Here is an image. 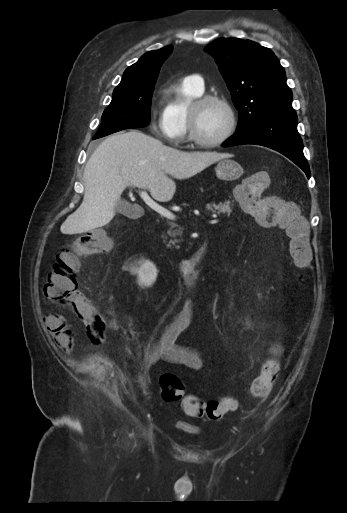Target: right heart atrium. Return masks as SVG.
I'll return each instance as SVG.
<instances>
[{"label":"right heart atrium","instance_id":"d8ad5b80","mask_svg":"<svg viewBox=\"0 0 347 513\" xmlns=\"http://www.w3.org/2000/svg\"><path fill=\"white\" fill-rule=\"evenodd\" d=\"M151 126L157 135L170 141L171 143H176L175 136L170 129L169 122L163 113L152 120Z\"/></svg>","mask_w":347,"mask_h":513}]
</instances>
